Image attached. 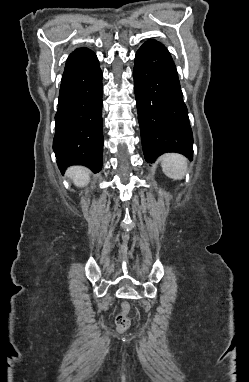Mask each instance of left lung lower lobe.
<instances>
[{"label":"left lung lower lobe","instance_id":"left-lung-lower-lobe-1","mask_svg":"<svg viewBox=\"0 0 249 382\" xmlns=\"http://www.w3.org/2000/svg\"><path fill=\"white\" fill-rule=\"evenodd\" d=\"M134 90L145 160L166 152L192 160L193 136L178 73L167 48L146 41L135 56Z\"/></svg>","mask_w":249,"mask_h":382}]
</instances>
